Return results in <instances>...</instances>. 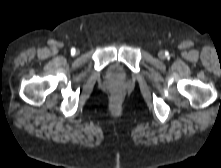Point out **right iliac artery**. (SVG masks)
Masks as SVG:
<instances>
[{"label":"right iliac artery","instance_id":"right-iliac-artery-1","mask_svg":"<svg viewBox=\"0 0 221 168\" xmlns=\"http://www.w3.org/2000/svg\"><path fill=\"white\" fill-rule=\"evenodd\" d=\"M71 53H72V54L75 53V49H74V48L71 49Z\"/></svg>","mask_w":221,"mask_h":168}]
</instances>
